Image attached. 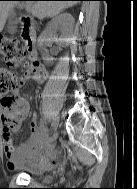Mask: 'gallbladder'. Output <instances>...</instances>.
<instances>
[{"label": "gallbladder", "mask_w": 137, "mask_h": 189, "mask_svg": "<svg viewBox=\"0 0 137 189\" xmlns=\"http://www.w3.org/2000/svg\"><path fill=\"white\" fill-rule=\"evenodd\" d=\"M19 9L25 8V5L23 3H20L16 6ZM9 23H8V27H7V31L9 33H15L16 31V18H15V10H11L9 12Z\"/></svg>", "instance_id": "1"}]
</instances>
